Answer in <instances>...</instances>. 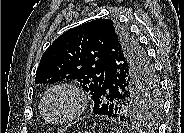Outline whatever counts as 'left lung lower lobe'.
<instances>
[{
	"label": "left lung lower lobe",
	"mask_w": 184,
	"mask_h": 133,
	"mask_svg": "<svg viewBox=\"0 0 184 133\" xmlns=\"http://www.w3.org/2000/svg\"><path fill=\"white\" fill-rule=\"evenodd\" d=\"M142 89L152 95L153 88L148 81H142ZM128 94L127 76L123 65L118 60H108L105 67V80L99 90L93 95V113L118 118L121 102Z\"/></svg>",
	"instance_id": "obj_1"
}]
</instances>
